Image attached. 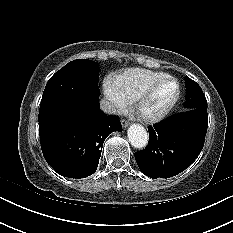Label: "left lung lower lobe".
<instances>
[{
    "instance_id": "obj_1",
    "label": "left lung lower lobe",
    "mask_w": 233,
    "mask_h": 233,
    "mask_svg": "<svg viewBox=\"0 0 233 233\" xmlns=\"http://www.w3.org/2000/svg\"><path fill=\"white\" fill-rule=\"evenodd\" d=\"M207 127V107L188 109L150 126L147 147L135 153L139 169L153 179L181 173L201 152Z\"/></svg>"
}]
</instances>
